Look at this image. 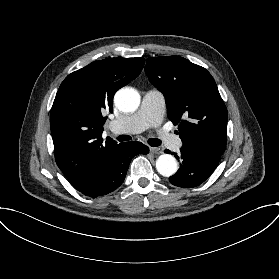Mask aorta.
Wrapping results in <instances>:
<instances>
[{
	"label": "aorta",
	"instance_id": "obj_1",
	"mask_svg": "<svg viewBox=\"0 0 279 279\" xmlns=\"http://www.w3.org/2000/svg\"><path fill=\"white\" fill-rule=\"evenodd\" d=\"M140 95L133 88H121L114 96L116 107L123 112L135 111L140 105ZM156 169L164 177H170L177 171V161L170 154H163L156 160Z\"/></svg>",
	"mask_w": 279,
	"mask_h": 279
}]
</instances>
